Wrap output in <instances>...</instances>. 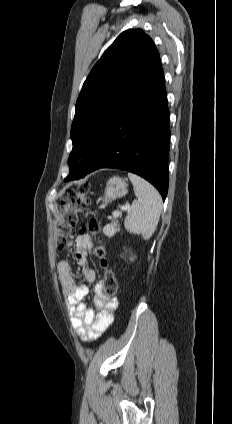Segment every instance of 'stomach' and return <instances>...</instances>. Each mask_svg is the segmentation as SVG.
<instances>
[{
	"label": "stomach",
	"mask_w": 232,
	"mask_h": 424,
	"mask_svg": "<svg viewBox=\"0 0 232 424\" xmlns=\"http://www.w3.org/2000/svg\"><path fill=\"white\" fill-rule=\"evenodd\" d=\"M127 193V184L119 177H112L105 189V195L100 199L102 204L100 208H104L109 202L125 196Z\"/></svg>",
	"instance_id": "1"
}]
</instances>
